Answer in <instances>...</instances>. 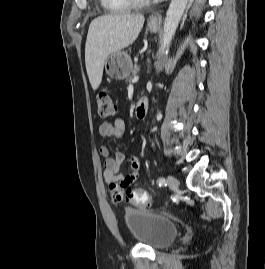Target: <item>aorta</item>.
<instances>
[{
    "label": "aorta",
    "instance_id": "762f6f07",
    "mask_svg": "<svg viewBox=\"0 0 265 269\" xmlns=\"http://www.w3.org/2000/svg\"><path fill=\"white\" fill-rule=\"evenodd\" d=\"M189 0H171L166 13L163 26V37L161 41L160 51L167 54L171 41L175 35L179 21L184 13ZM159 66H157L158 69Z\"/></svg>",
    "mask_w": 265,
    "mask_h": 269
}]
</instances>
